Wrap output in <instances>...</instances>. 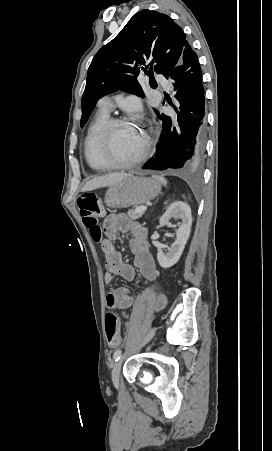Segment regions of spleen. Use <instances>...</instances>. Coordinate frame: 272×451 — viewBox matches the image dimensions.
Here are the masks:
<instances>
[{
    "mask_svg": "<svg viewBox=\"0 0 272 451\" xmlns=\"http://www.w3.org/2000/svg\"><path fill=\"white\" fill-rule=\"evenodd\" d=\"M152 178H155V180H158V182H161V184H163V186H166V184H167V180H165V178H162V176H152Z\"/></svg>",
    "mask_w": 272,
    "mask_h": 451,
    "instance_id": "spleen-1",
    "label": "spleen"
}]
</instances>
